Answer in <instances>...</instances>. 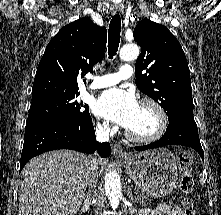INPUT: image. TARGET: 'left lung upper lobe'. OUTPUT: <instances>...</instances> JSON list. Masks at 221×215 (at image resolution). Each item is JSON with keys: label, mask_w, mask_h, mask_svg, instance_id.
<instances>
[{"label": "left lung upper lobe", "mask_w": 221, "mask_h": 215, "mask_svg": "<svg viewBox=\"0 0 221 215\" xmlns=\"http://www.w3.org/2000/svg\"><path fill=\"white\" fill-rule=\"evenodd\" d=\"M141 46L135 64L138 89L164 109L168 121H194L190 70L175 36L163 25L144 19L134 29Z\"/></svg>", "instance_id": "5c2ea615"}]
</instances>
